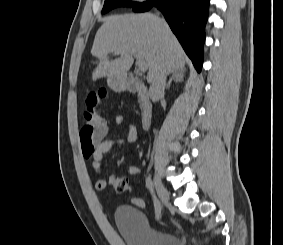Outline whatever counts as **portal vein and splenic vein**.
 <instances>
[{"label":"portal vein and splenic vein","instance_id":"obj_1","mask_svg":"<svg viewBox=\"0 0 283 245\" xmlns=\"http://www.w3.org/2000/svg\"><path fill=\"white\" fill-rule=\"evenodd\" d=\"M136 58H137L136 64L139 70L142 72H145L148 69L147 63L144 60L140 59L139 57H136Z\"/></svg>","mask_w":283,"mask_h":245}]
</instances>
